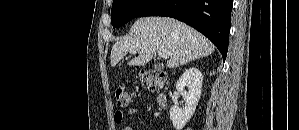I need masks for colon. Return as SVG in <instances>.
<instances>
[{"instance_id": "colon-1", "label": "colon", "mask_w": 299, "mask_h": 130, "mask_svg": "<svg viewBox=\"0 0 299 130\" xmlns=\"http://www.w3.org/2000/svg\"><path fill=\"white\" fill-rule=\"evenodd\" d=\"M141 84L150 89L156 90L161 88L166 82V74L158 71L142 70L138 73ZM116 101L120 107H127L130 103V94L125 88L116 90Z\"/></svg>"}]
</instances>
